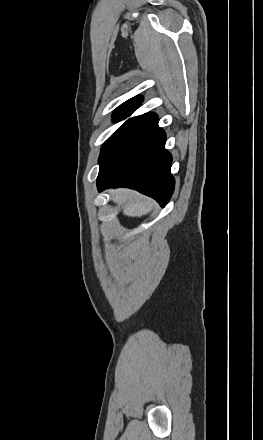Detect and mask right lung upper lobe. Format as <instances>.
<instances>
[{
	"instance_id": "right-lung-upper-lobe-1",
	"label": "right lung upper lobe",
	"mask_w": 263,
	"mask_h": 440,
	"mask_svg": "<svg viewBox=\"0 0 263 440\" xmlns=\"http://www.w3.org/2000/svg\"><path fill=\"white\" fill-rule=\"evenodd\" d=\"M143 101L141 96H136L133 97L129 100H127L126 102H124L121 106H119L117 109H122V108H137L140 103Z\"/></svg>"
}]
</instances>
